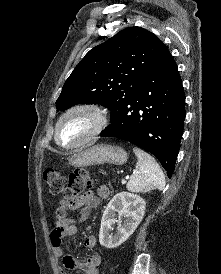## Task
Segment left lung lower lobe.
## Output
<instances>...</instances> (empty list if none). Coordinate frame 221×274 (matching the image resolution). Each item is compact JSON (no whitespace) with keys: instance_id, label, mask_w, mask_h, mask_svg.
Here are the masks:
<instances>
[{"instance_id":"obj_1","label":"left lung lower lobe","mask_w":221,"mask_h":274,"mask_svg":"<svg viewBox=\"0 0 221 274\" xmlns=\"http://www.w3.org/2000/svg\"><path fill=\"white\" fill-rule=\"evenodd\" d=\"M185 94L170 52L146 75L137 94L111 115L101 136L129 141L155 155L171 178L185 119Z\"/></svg>"}]
</instances>
